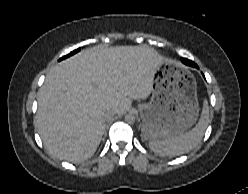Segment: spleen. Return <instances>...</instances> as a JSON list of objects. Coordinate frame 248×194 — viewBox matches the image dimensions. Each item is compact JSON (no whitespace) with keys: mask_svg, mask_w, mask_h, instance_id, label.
I'll use <instances>...</instances> for the list:
<instances>
[{"mask_svg":"<svg viewBox=\"0 0 248 194\" xmlns=\"http://www.w3.org/2000/svg\"><path fill=\"white\" fill-rule=\"evenodd\" d=\"M209 123V106L205 99L201 117L194 128L165 140H151L149 146L152 151L162 156H178L195 148L202 140L204 131Z\"/></svg>","mask_w":248,"mask_h":194,"instance_id":"3e777b00","label":"spleen"}]
</instances>
